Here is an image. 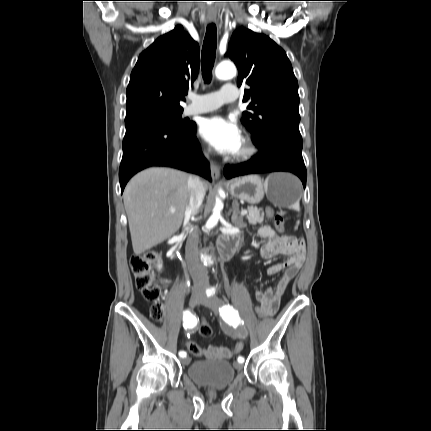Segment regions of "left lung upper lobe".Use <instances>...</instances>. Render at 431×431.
<instances>
[{"label":"left lung upper lobe","instance_id":"1","mask_svg":"<svg viewBox=\"0 0 431 431\" xmlns=\"http://www.w3.org/2000/svg\"><path fill=\"white\" fill-rule=\"evenodd\" d=\"M226 55L238 68L237 85L248 87L242 123L254 143L279 130L300 135L298 82L285 51L268 36L241 28L232 34Z\"/></svg>","mask_w":431,"mask_h":431}]
</instances>
